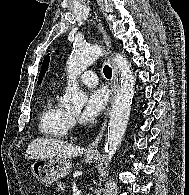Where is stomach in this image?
Segmentation results:
<instances>
[{"label": "stomach", "mask_w": 189, "mask_h": 195, "mask_svg": "<svg viewBox=\"0 0 189 195\" xmlns=\"http://www.w3.org/2000/svg\"><path fill=\"white\" fill-rule=\"evenodd\" d=\"M97 158L96 152H85L83 159L87 163L93 162ZM72 167L70 160L56 158V157H47L40 158L35 160L32 164L31 169L33 175L36 179L45 185H51L61 177H64L68 174Z\"/></svg>", "instance_id": "obj_1"}]
</instances>
